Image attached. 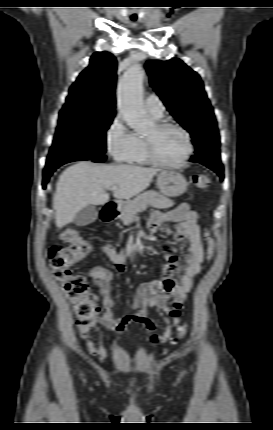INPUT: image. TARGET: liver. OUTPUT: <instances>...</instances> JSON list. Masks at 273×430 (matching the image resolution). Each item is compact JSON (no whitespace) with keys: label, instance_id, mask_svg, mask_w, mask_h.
I'll return each instance as SVG.
<instances>
[{"label":"liver","instance_id":"1","mask_svg":"<svg viewBox=\"0 0 273 430\" xmlns=\"http://www.w3.org/2000/svg\"><path fill=\"white\" fill-rule=\"evenodd\" d=\"M159 169L133 165H93L78 162L60 175L53 199L58 228L73 222L88 205H102L109 200L106 190L118 187L114 197L122 200L138 195L149 187Z\"/></svg>","mask_w":273,"mask_h":430}]
</instances>
